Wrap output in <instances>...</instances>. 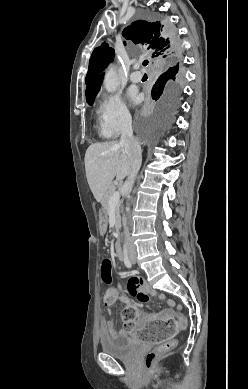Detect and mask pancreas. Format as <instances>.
<instances>
[{
  "mask_svg": "<svg viewBox=\"0 0 248 389\" xmlns=\"http://www.w3.org/2000/svg\"><path fill=\"white\" fill-rule=\"evenodd\" d=\"M115 190H116V186L114 184H111L102 200V207H103L102 211L105 216L107 215V211L109 209V200L111 196L114 194ZM116 214L117 216L119 215V204H117L116 206ZM117 228H119V223H117Z\"/></svg>",
  "mask_w": 248,
  "mask_h": 389,
  "instance_id": "cf45deb5",
  "label": "pancreas"
}]
</instances>
